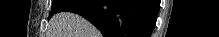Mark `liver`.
<instances>
[{
  "label": "liver",
  "mask_w": 219,
  "mask_h": 37,
  "mask_svg": "<svg viewBox=\"0 0 219 37\" xmlns=\"http://www.w3.org/2000/svg\"><path fill=\"white\" fill-rule=\"evenodd\" d=\"M52 37H98L96 28L83 17L61 12L53 16L49 22Z\"/></svg>",
  "instance_id": "liver-1"
}]
</instances>
